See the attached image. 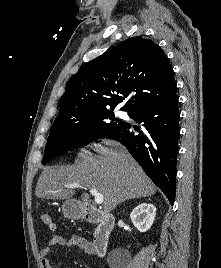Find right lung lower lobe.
I'll return each mask as SVG.
<instances>
[{
    "instance_id": "1",
    "label": "right lung lower lobe",
    "mask_w": 221,
    "mask_h": 268,
    "mask_svg": "<svg viewBox=\"0 0 221 268\" xmlns=\"http://www.w3.org/2000/svg\"><path fill=\"white\" fill-rule=\"evenodd\" d=\"M130 118L142 127L125 123L106 138L123 144L173 205L180 132L178 97L142 107Z\"/></svg>"
}]
</instances>
